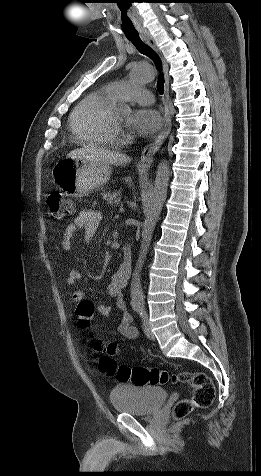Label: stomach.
Listing matches in <instances>:
<instances>
[{
    "label": "stomach",
    "mask_w": 261,
    "mask_h": 476,
    "mask_svg": "<svg viewBox=\"0 0 261 476\" xmlns=\"http://www.w3.org/2000/svg\"><path fill=\"white\" fill-rule=\"evenodd\" d=\"M111 172L109 164L68 156L56 164L52 175L58 190H65V195L82 196L106 184Z\"/></svg>",
    "instance_id": "0dacf381"
}]
</instances>
